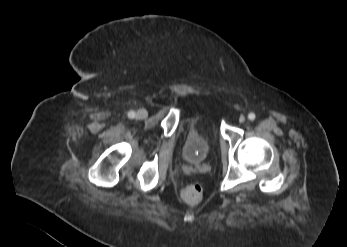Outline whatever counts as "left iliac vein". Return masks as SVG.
<instances>
[{
	"label": "left iliac vein",
	"mask_w": 347,
	"mask_h": 247,
	"mask_svg": "<svg viewBox=\"0 0 347 247\" xmlns=\"http://www.w3.org/2000/svg\"><path fill=\"white\" fill-rule=\"evenodd\" d=\"M239 122H240V123H244V122H245V117H244V116H240Z\"/></svg>",
	"instance_id": "left-iliac-vein-1"
}]
</instances>
